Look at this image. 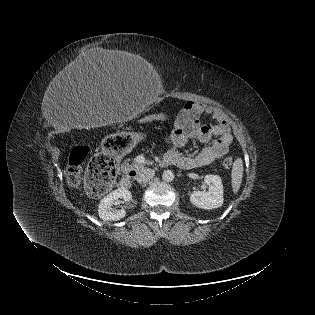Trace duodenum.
Returning a JSON list of instances; mask_svg holds the SVG:
<instances>
[{
  "label": "duodenum",
  "instance_id": "1",
  "mask_svg": "<svg viewBox=\"0 0 315 315\" xmlns=\"http://www.w3.org/2000/svg\"><path fill=\"white\" fill-rule=\"evenodd\" d=\"M164 165L169 164L166 159L162 162ZM136 175V172L134 170H128L126 171L121 179L118 182V187L120 188H129L131 186L132 178Z\"/></svg>",
  "mask_w": 315,
  "mask_h": 315
}]
</instances>
